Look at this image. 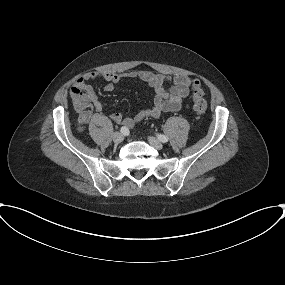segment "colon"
Listing matches in <instances>:
<instances>
[{"label": "colon", "mask_w": 285, "mask_h": 285, "mask_svg": "<svg viewBox=\"0 0 285 285\" xmlns=\"http://www.w3.org/2000/svg\"><path fill=\"white\" fill-rule=\"evenodd\" d=\"M193 108L197 118H201L207 109V102L201 89H195L193 93Z\"/></svg>", "instance_id": "colon-1"}]
</instances>
